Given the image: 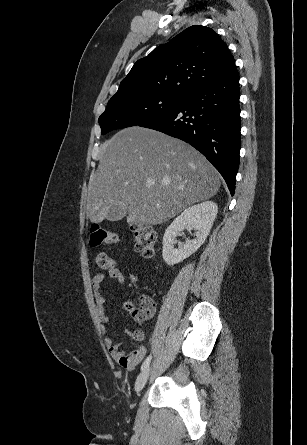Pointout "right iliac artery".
<instances>
[{
  "instance_id": "right-iliac-artery-1",
  "label": "right iliac artery",
  "mask_w": 307,
  "mask_h": 445,
  "mask_svg": "<svg viewBox=\"0 0 307 445\" xmlns=\"http://www.w3.org/2000/svg\"><path fill=\"white\" fill-rule=\"evenodd\" d=\"M150 361H151V355H149L142 363V366H141L142 371L148 367Z\"/></svg>"
}]
</instances>
